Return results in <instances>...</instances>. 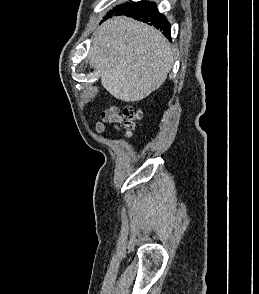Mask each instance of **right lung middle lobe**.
Wrapping results in <instances>:
<instances>
[{
	"mask_svg": "<svg viewBox=\"0 0 259 294\" xmlns=\"http://www.w3.org/2000/svg\"><path fill=\"white\" fill-rule=\"evenodd\" d=\"M137 3H134V2H127L126 4H121V5H118L116 6L115 8H113V10H110L109 13H107L106 15V18L107 17H111L112 15H120L122 14L123 12L131 9L133 6H135Z\"/></svg>",
	"mask_w": 259,
	"mask_h": 294,
	"instance_id": "right-lung-middle-lobe-1",
	"label": "right lung middle lobe"
}]
</instances>
